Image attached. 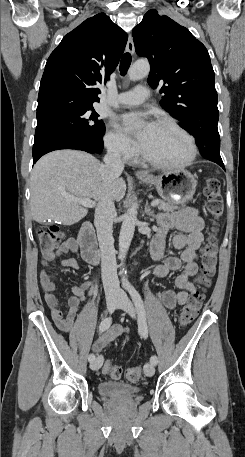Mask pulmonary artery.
I'll return each mask as SVG.
<instances>
[{
	"label": "pulmonary artery",
	"mask_w": 245,
	"mask_h": 457,
	"mask_svg": "<svg viewBox=\"0 0 245 457\" xmlns=\"http://www.w3.org/2000/svg\"><path fill=\"white\" fill-rule=\"evenodd\" d=\"M149 96L148 86H135L134 91L119 94L116 103L118 105H139L148 100Z\"/></svg>",
	"instance_id": "1"
}]
</instances>
